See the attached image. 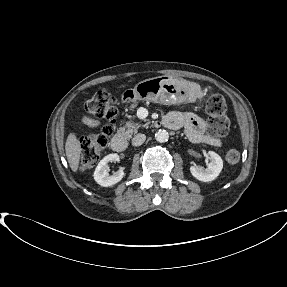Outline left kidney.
Listing matches in <instances>:
<instances>
[{"label":"left kidney","mask_w":287,"mask_h":287,"mask_svg":"<svg viewBox=\"0 0 287 287\" xmlns=\"http://www.w3.org/2000/svg\"><path fill=\"white\" fill-rule=\"evenodd\" d=\"M211 162L207 165L206 169H201L197 166H191V174L199 181L209 182L217 178L223 169L222 158L214 151L208 152Z\"/></svg>","instance_id":"1"}]
</instances>
